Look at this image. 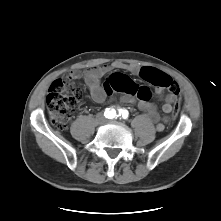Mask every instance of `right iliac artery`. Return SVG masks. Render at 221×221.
Listing matches in <instances>:
<instances>
[{
  "mask_svg": "<svg viewBox=\"0 0 221 221\" xmlns=\"http://www.w3.org/2000/svg\"><path fill=\"white\" fill-rule=\"evenodd\" d=\"M116 116H118V115H116V111L114 109H110V108L106 109V111H105L106 118L112 119V118H115Z\"/></svg>",
  "mask_w": 221,
  "mask_h": 221,
  "instance_id": "right-iliac-artery-1",
  "label": "right iliac artery"
}]
</instances>
